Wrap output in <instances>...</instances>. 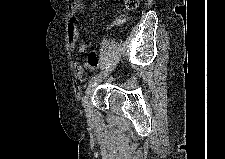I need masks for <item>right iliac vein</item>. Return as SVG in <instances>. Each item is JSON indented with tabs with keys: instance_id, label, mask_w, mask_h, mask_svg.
<instances>
[{
	"instance_id": "right-iliac-vein-1",
	"label": "right iliac vein",
	"mask_w": 225,
	"mask_h": 159,
	"mask_svg": "<svg viewBox=\"0 0 225 159\" xmlns=\"http://www.w3.org/2000/svg\"><path fill=\"white\" fill-rule=\"evenodd\" d=\"M107 74H103L102 76L98 77L95 84L88 87L85 96L83 97V106L87 113L91 112V96L95 90L97 84H99Z\"/></svg>"
}]
</instances>
